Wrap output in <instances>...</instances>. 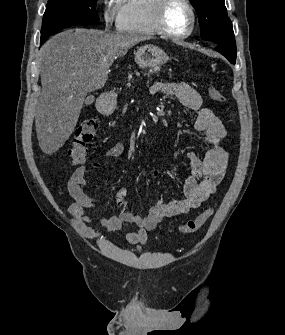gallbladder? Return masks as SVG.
Returning <instances> with one entry per match:
<instances>
[{
    "label": "gallbladder",
    "instance_id": "gallbladder-1",
    "mask_svg": "<svg viewBox=\"0 0 285 335\" xmlns=\"http://www.w3.org/2000/svg\"><path fill=\"white\" fill-rule=\"evenodd\" d=\"M94 100L92 98V96H88V98H86L85 100V104L86 106H90V104H93Z\"/></svg>",
    "mask_w": 285,
    "mask_h": 335
}]
</instances>
